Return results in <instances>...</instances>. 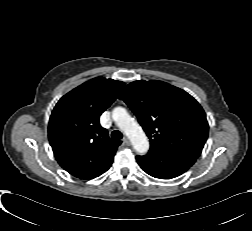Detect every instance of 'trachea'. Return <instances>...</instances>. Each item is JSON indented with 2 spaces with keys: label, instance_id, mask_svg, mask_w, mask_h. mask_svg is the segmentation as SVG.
I'll return each instance as SVG.
<instances>
[{
  "label": "trachea",
  "instance_id": "obj_1",
  "mask_svg": "<svg viewBox=\"0 0 252 231\" xmlns=\"http://www.w3.org/2000/svg\"><path fill=\"white\" fill-rule=\"evenodd\" d=\"M111 136L113 139H116V140H120L123 137L122 133L119 130L112 131Z\"/></svg>",
  "mask_w": 252,
  "mask_h": 231
}]
</instances>
